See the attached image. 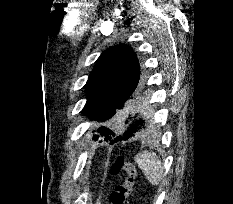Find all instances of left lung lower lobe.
Instances as JSON below:
<instances>
[{"label": "left lung lower lobe", "mask_w": 233, "mask_h": 204, "mask_svg": "<svg viewBox=\"0 0 233 204\" xmlns=\"http://www.w3.org/2000/svg\"><path fill=\"white\" fill-rule=\"evenodd\" d=\"M137 86L138 84L132 86L130 89L126 91L122 100V104H123L122 107L131 98ZM144 112L146 113L148 112V110L144 109ZM126 124H127V129L125 130V132L120 136H116L113 140H110L111 144H114L117 141L127 140L128 138L134 136L137 132L141 131L142 129H145L147 125V116H144L141 113H136L134 116L130 117L129 120H126Z\"/></svg>", "instance_id": "1"}]
</instances>
